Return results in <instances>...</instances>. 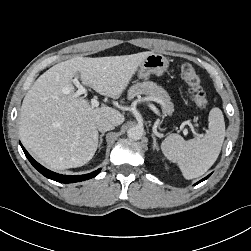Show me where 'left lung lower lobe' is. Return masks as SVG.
<instances>
[{"label":"left lung lower lobe","mask_w":251,"mask_h":251,"mask_svg":"<svg viewBox=\"0 0 251 251\" xmlns=\"http://www.w3.org/2000/svg\"><path fill=\"white\" fill-rule=\"evenodd\" d=\"M211 175V174H210ZM210 175H208L207 177H205L204 179L200 180L199 182H197L196 184L202 182L203 180L207 179Z\"/></svg>","instance_id":"1"}]
</instances>
